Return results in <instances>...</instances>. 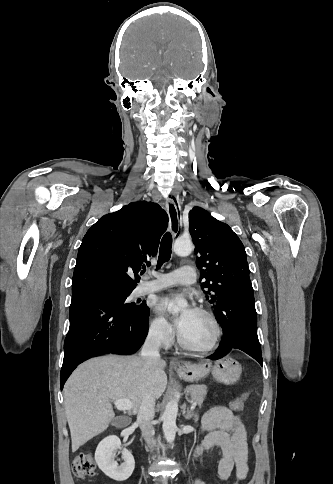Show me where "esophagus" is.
<instances>
[{"label": "esophagus", "mask_w": 333, "mask_h": 484, "mask_svg": "<svg viewBox=\"0 0 333 484\" xmlns=\"http://www.w3.org/2000/svg\"><path fill=\"white\" fill-rule=\"evenodd\" d=\"M166 211L169 216V225L172 234L176 237L179 234L181 227V209L176 205L172 198H168L165 202ZM172 365L182 366V362L177 359L172 360Z\"/></svg>", "instance_id": "obj_1"}]
</instances>
